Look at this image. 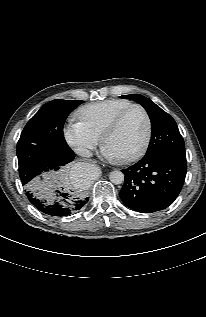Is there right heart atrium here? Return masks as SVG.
Returning <instances> with one entry per match:
<instances>
[{
  "label": "right heart atrium",
  "mask_w": 206,
  "mask_h": 317,
  "mask_svg": "<svg viewBox=\"0 0 206 317\" xmlns=\"http://www.w3.org/2000/svg\"><path fill=\"white\" fill-rule=\"evenodd\" d=\"M64 137L74 151L81 155L89 154L99 142V137L81 120H70L64 128Z\"/></svg>",
  "instance_id": "obj_1"
}]
</instances>
